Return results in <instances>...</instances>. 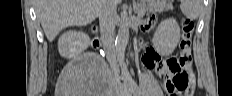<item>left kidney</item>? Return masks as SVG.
Returning a JSON list of instances; mask_svg holds the SVG:
<instances>
[{
	"label": "left kidney",
	"mask_w": 232,
	"mask_h": 96,
	"mask_svg": "<svg viewBox=\"0 0 232 96\" xmlns=\"http://www.w3.org/2000/svg\"><path fill=\"white\" fill-rule=\"evenodd\" d=\"M180 40V28L175 19L162 21L153 35L152 43L155 50L163 56L173 53Z\"/></svg>",
	"instance_id": "5707ae66"
}]
</instances>
